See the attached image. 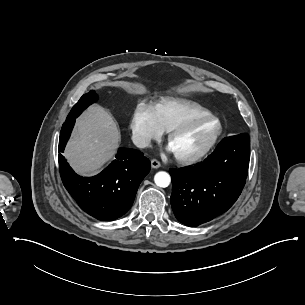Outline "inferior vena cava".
<instances>
[{
	"mask_svg": "<svg viewBox=\"0 0 305 305\" xmlns=\"http://www.w3.org/2000/svg\"><path fill=\"white\" fill-rule=\"evenodd\" d=\"M132 141L139 148H146L151 143V139L149 137L137 133L133 134Z\"/></svg>",
	"mask_w": 305,
	"mask_h": 305,
	"instance_id": "inferior-vena-cava-1",
	"label": "inferior vena cava"
}]
</instances>
